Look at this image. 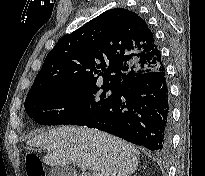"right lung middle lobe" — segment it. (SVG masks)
Wrapping results in <instances>:
<instances>
[{
	"label": "right lung middle lobe",
	"instance_id": "right-lung-middle-lobe-1",
	"mask_svg": "<svg viewBox=\"0 0 205 176\" xmlns=\"http://www.w3.org/2000/svg\"><path fill=\"white\" fill-rule=\"evenodd\" d=\"M103 89V91L101 90ZM48 87L27 95L25 110L43 125H86L111 102L117 88L103 85ZM111 90L112 95L106 92ZM64 108L57 111L55 109Z\"/></svg>",
	"mask_w": 205,
	"mask_h": 176
}]
</instances>
